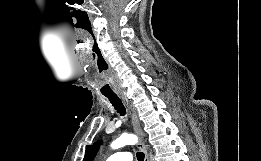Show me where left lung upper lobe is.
<instances>
[{
	"label": "left lung upper lobe",
	"instance_id": "5c2ea615",
	"mask_svg": "<svg viewBox=\"0 0 261 161\" xmlns=\"http://www.w3.org/2000/svg\"><path fill=\"white\" fill-rule=\"evenodd\" d=\"M100 145H102V141H97L93 145H88L83 161H93Z\"/></svg>",
	"mask_w": 261,
	"mask_h": 161
}]
</instances>
